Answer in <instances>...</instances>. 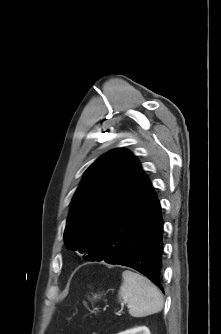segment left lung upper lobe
Wrapping results in <instances>:
<instances>
[{
  "mask_svg": "<svg viewBox=\"0 0 221 334\" xmlns=\"http://www.w3.org/2000/svg\"><path fill=\"white\" fill-rule=\"evenodd\" d=\"M144 177L138 160L125 149L99 157L86 170L72 199L64 232L66 247L93 261L103 234Z\"/></svg>",
  "mask_w": 221,
  "mask_h": 334,
  "instance_id": "5c2ea615",
  "label": "left lung upper lobe"
}]
</instances>
